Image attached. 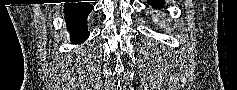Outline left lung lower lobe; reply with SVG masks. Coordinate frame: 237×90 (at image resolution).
<instances>
[{"mask_svg":"<svg viewBox=\"0 0 237 90\" xmlns=\"http://www.w3.org/2000/svg\"><path fill=\"white\" fill-rule=\"evenodd\" d=\"M148 5H151L153 8L161 9L164 7L165 2L163 0H148Z\"/></svg>","mask_w":237,"mask_h":90,"instance_id":"0a47b994","label":"left lung lower lobe"}]
</instances>
